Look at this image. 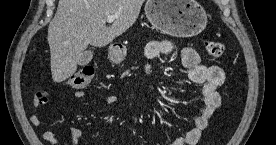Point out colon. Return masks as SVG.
Listing matches in <instances>:
<instances>
[{"label":"colon","mask_w":276,"mask_h":145,"mask_svg":"<svg viewBox=\"0 0 276 145\" xmlns=\"http://www.w3.org/2000/svg\"><path fill=\"white\" fill-rule=\"evenodd\" d=\"M204 46L208 55L215 60L220 59L225 52L224 44L216 40H206ZM93 77L94 68L92 66H84L68 78V84L74 88H84L91 83ZM36 98L41 105L45 104L48 99L43 91L37 92Z\"/></svg>","instance_id":"5ec220e1"}]
</instances>
